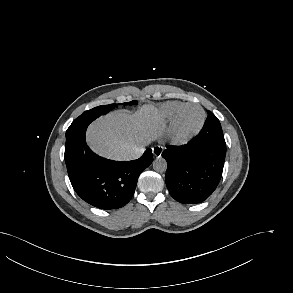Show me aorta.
<instances>
[{
  "mask_svg": "<svg viewBox=\"0 0 293 293\" xmlns=\"http://www.w3.org/2000/svg\"><path fill=\"white\" fill-rule=\"evenodd\" d=\"M153 169L157 172H164L167 169V162L162 157H157L153 161Z\"/></svg>",
  "mask_w": 293,
  "mask_h": 293,
  "instance_id": "1",
  "label": "aorta"
}]
</instances>
